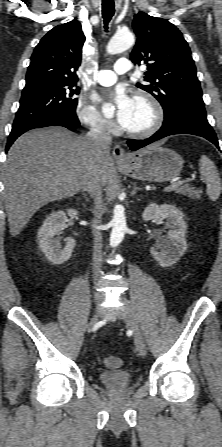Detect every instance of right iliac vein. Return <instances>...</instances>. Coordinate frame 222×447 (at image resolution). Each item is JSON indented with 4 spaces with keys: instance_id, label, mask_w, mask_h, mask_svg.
<instances>
[{
    "instance_id": "right-iliac-vein-1",
    "label": "right iliac vein",
    "mask_w": 222,
    "mask_h": 447,
    "mask_svg": "<svg viewBox=\"0 0 222 447\" xmlns=\"http://www.w3.org/2000/svg\"><path fill=\"white\" fill-rule=\"evenodd\" d=\"M99 310H97V314L90 320V322L88 323V330H92V328L95 326V324L98 321V316H99Z\"/></svg>"
}]
</instances>
